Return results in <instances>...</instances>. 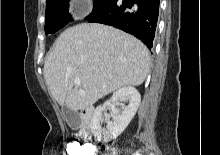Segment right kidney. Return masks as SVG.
I'll use <instances>...</instances> for the list:
<instances>
[{"mask_svg":"<svg viewBox=\"0 0 220 155\" xmlns=\"http://www.w3.org/2000/svg\"><path fill=\"white\" fill-rule=\"evenodd\" d=\"M119 100L127 102L128 105L122 109L116 108V106H119L120 104ZM140 101L141 97L139 92L132 86L123 87L114 92L109 101H106L94 111L90 123L93 135L105 142H109L112 139L117 138L120 134H122L135 116L140 105ZM106 107H110L112 110L114 121L112 122L109 118H105V121L107 122V129H104L102 128V122L104 121L103 112Z\"/></svg>","mask_w":220,"mask_h":155,"instance_id":"right-kidney-1","label":"right kidney"}]
</instances>
